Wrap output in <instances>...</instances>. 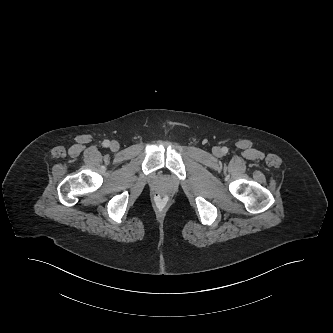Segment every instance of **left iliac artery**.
<instances>
[{
  "label": "left iliac artery",
  "mask_w": 333,
  "mask_h": 333,
  "mask_svg": "<svg viewBox=\"0 0 333 333\" xmlns=\"http://www.w3.org/2000/svg\"><path fill=\"white\" fill-rule=\"evenodd\" d=\"M222 152H223L224 154H226V153L228 152V148H227V147H223V148H222Z\"/></svg>",
  "instance_id": "left-iliac-artery-1"
}]
</instances>
